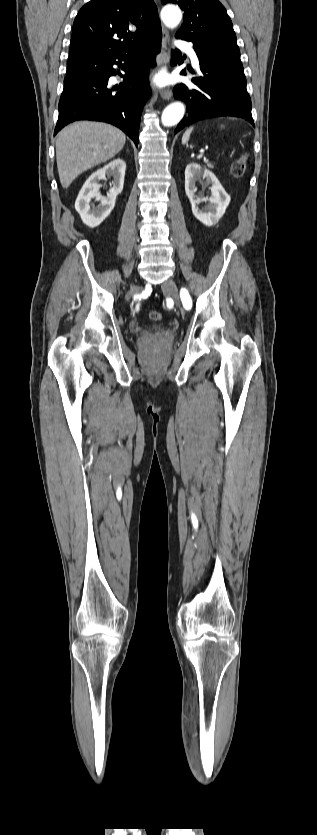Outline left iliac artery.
Listing matches in <instances>:
<instances>
[{
    "mask_svg": "<svg viewBox=\"0 0 317 835\" xmlns=\"http://www.w3.org/2000/svg\"><path fill=\"white\" fill-rule=\"evenodd\" d=\"M180 294H181L183 305H184L185 309H187V310L190 309L191 306H192V299H191L190 294L187 291V289L182 288Z\"/></svg>",
    "mask_w": 317,
    "mask_h": 835,
    "instance_id": "44dca946",
    "label": "left iliac artery"
}]
</instances>
